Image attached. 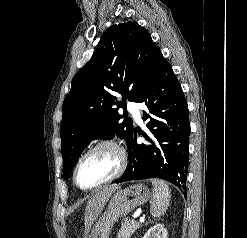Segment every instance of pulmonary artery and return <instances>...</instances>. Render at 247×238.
Here are the masks:
<instances>
[{
    "instance_id": "1",
    "label": "pulmonary artery",
    "mask_w": 247,
    "mask_h": 238,
    "mask_svg": "<svg viewBox=\"0 0 247 238\" xmlns=\"http://www.w3.org/2000/svg\"><path fill=\"white\" fill-rule=\"evenodd\" d=\"M128 109L132 113V115L134 116L135 120L137 122H141V114H140L138 104H136L134 102H129L128 103Z\"/></svg>"
}]
</instances>
